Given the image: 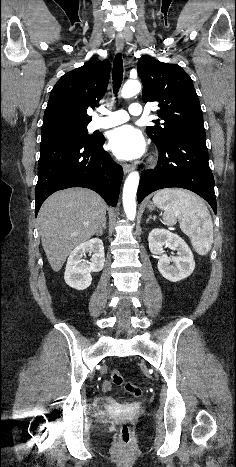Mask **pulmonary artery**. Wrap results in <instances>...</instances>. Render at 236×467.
Wrapping results in <instances>:
<instances>
[{
  "mask_svg": "<svg viewBox=\"0 0 236 467\" xmlns=\"http://www.w3.org/2000/svg\"><path fill=\"white\" fill-rule=\"evenodd\" d=\"M102 113L105 114L104 117H98L92 121V129L96 130L117 126L128 121L129 114L133 116L142 115L143 109L139 103H133L129 108V114L124 110L103 111Z\"/></svg>",
  "mask_w": 236,
  "mask_h": 467,
  "instance_id": "pulmonary-artery-1",
  "label": "pulmonary artery"
}]
</instances>
